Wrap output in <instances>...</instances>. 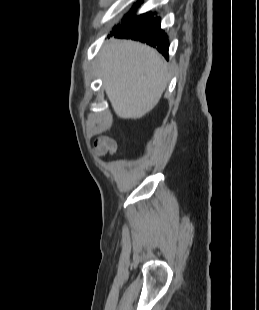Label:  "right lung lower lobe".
<instances>
[{
  "mask_svg": "<svg viewBox=\"0 0 259 310\" xmlns=\"http://www.w3.org/2000/svg\"><path fill=\"white\" fill-rule=\"evenodd\" d=\"M115 33L116 37L139 40L153 46L168 58L169 40L165 32L160 28V19L158 17L154 18L153 13L138 17L127 27L117 30Z\"/></svg>",
  "mask_w": 259,
  "mask_h": 310,
  "instance_id": "98d812e1",
  "label": "right lung lower lobe"
}]
</instances>
